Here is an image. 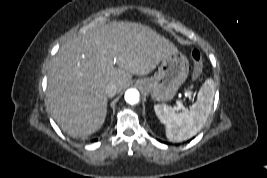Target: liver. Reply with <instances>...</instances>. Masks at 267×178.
I'll return each mask as SVG.
<instances>
[{
	"label": "liver",
	"instance_id": "liver-1",
	"mask_svg": "<svg viewBox=\"0 0 267 178\" xmlns=\"http://www.w3.org/2000/svg\"><path fill=\"white\" fill-rule=\"evenodd\" d=\"M174 51L173 43L140 23L112 22L78 35L60 47L50 64L52 117L71 137L87 138L105 121L107 84L122 90L132 74H149Z\"/></svg>",
	"mask_w": 267,
	"mask_h": 178
}]
</instances>
